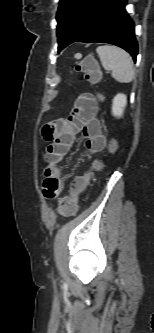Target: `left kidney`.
<instances>
[{"label":"left kidney","mask_w":154,"mask_h":333,"mask_svg":"<svg viewBox=\"0 0 154 333\" xmlns=\"http://www.w3.org/2000/svg\"><path fill=\"white\" fill-rule=\"evenodd\" d=\"M127 104V97L125 94H117L114 99H113V103H112V114L115 117H122L123 113H124V109L126 107Z\"/></svg>","instance_id":"left-kidney-1"}]
</instances>
